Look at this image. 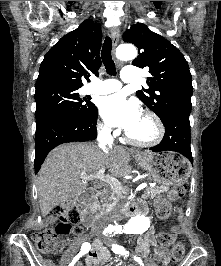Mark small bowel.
Returning a JSON list of instances; mask_svg holds the SVG:
<instances>
[{"label": "small bowel", "mask_w": 221, "mask_h": 266, "mask_svg": "<svg viewBox=\"0 0 221 266\" xmlns=\"http://www.w3.org/2000/svg\"><path fill=\"white\" fill-rule=\"evenodd\" d=\"M141 215L146 216L145 213H141ZM175 231H177V229H175ZM172 235L174 239V234ZM150 243H153L154 245V260L161 263L162 265H167L170 260L169 251L166 247L159 245L155 242V238L153 236V233L151 232V229H149L147 232H145L139 237L136 252L140 256H146L148 254ZM86 263L87 266H111L112 260L107 251L94 250L88 254L86 258Z\"/></svg>", "instance_id": "c3829d8e"}]
</instances>
